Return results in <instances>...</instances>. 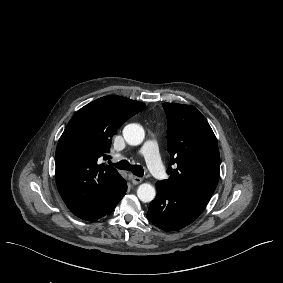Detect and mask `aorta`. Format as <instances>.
I'll return each mask as SVG.
<instances>
[{
  "mask_svg": "<svg viewBox=\"0 0 283 283\" xmlns=\"http://www.w3.org/2000/svg\"><path fill=\"white\" fill-rule=\"evenodd\" d=\"M123 137L129 145L136 146L143 142L145 132L141 125L132 123L124 127ZM137 196L142 202H151L156 196V190L151 184L143 183L138 187Z\"/></svg>",
  "mask_w": 283,
  "mask_h": 283,
  "instance_id": "obj_1",
  "label": "aorta"
}]
</instances>
